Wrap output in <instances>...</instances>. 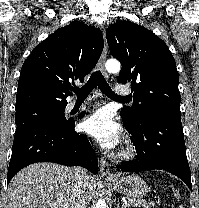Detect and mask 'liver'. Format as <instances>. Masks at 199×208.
I'll list each match as a JSON object with an SVG mask.
<instances>
[{
	"instance_id": "obj_1",
	"label": "liver",
	"mask_w": 199,
	"mask_h": 208,
	"mask_svg": "<svg viewBox=\"0 0 199 208\" xmlns=\"http://www.w3.org/2000/svg\"><path fill=\"white\" fill-rule=\"evenodd\" d=\"M74 187V168L49 162L34 163L11 180L6 208H70ZM95 189V178L87 174L83 185L86 203L91 201Z\"/></svg>"
}]
</instances>
